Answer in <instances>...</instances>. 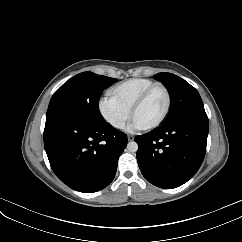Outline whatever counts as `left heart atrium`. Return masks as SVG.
Segmentation results:
<instances>
[{"mask_svg":"<svg viewBox=\"0 0 242 242\" xmlns=\"http://www.w3.org/2000/svg\"><path fill=\"white\" fill-rule=\"evenodd\" d=\"M146 127L138 122L136 119L133 118L132 123L128 126L127 130L130 132L137 131V130H143Z\"/></svg>","mask_w":242,"mask_h":242,"instance_id":"39dd6f15","label":"left heart atrium"}]
</instances>
